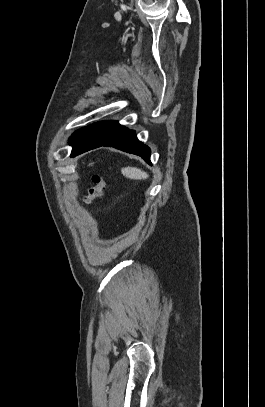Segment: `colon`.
<instances>
[{
    "label": "colon",
    "instance_id": "obj_1",
    "mask_svg": "<svg viewBox=\"0 0 265 407\" xmlns=\"http://www.w3.org/2000/svg\"><path fill=\"white\" fill-rule=\"evenodd\" d=\"M106 182L105 179L98 174L93 175L92 185L87 189L83 196V202L86 205L93 204L96 200L102 199L105 195Z\"/></svg>",
    "mask_w": 265,
    "mask_h": 407
}]
</instances>
